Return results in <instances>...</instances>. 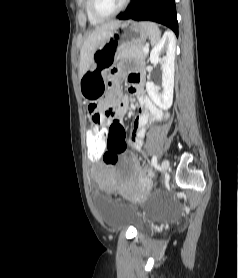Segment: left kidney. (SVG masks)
Here are the masks:
<instances>
[{
	"label": "left kidney",
	"instance_id": "left-kidney-1",
	"mask_svg": "<svg viewBox=\"0 0 238 278\" xmlns=\"http://www.w3.org/2000/svg\"><path fill=\"white\" fill-rule=\"evenodd\" d=\"M175 48L174 35L166 32L150 53L151 63L161 65L163 90L159 92V88L152 81L146 83V90L152 101L163 110H168L173 103ZM163 54L165 55L162 56Z\"/></svg>",
	"mask_w": 238,
	"mask_h": 278
}]
</instances>
